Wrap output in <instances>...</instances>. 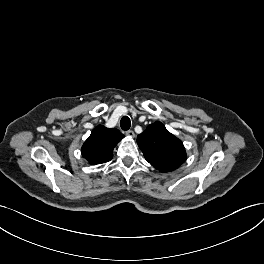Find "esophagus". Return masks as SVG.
<instances>
[{"label":"esophagus","instance_id":"esophagus-1","mask_svg":"<svg viewBox=\"0 0 264 264\" xmlns=\"http://www.w3.org/2000/svg\"><path fill=\"white\" fill-rule=\"evenodd\" d=\"M128 137H134L135 136V133L132 131V130H128L126 131L125 133Z\"/></svg>","mask_w":264,"mask_h":264}]
</instances>
